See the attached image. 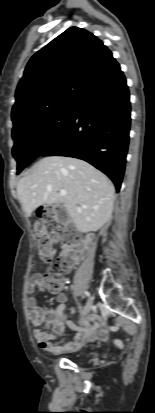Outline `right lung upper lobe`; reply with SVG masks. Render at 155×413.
<instances>
[{"label": "right lung upper lobe", "instance_id": "right-lung-upper-lobe-1", "mask_svg": "<svg viewBox=\"0 0 155 413\" xmlns=\"http://www.w3.org/2000/svg\"><path fill=\"white\" fill-rule=\"evenodd\" d=\"M120 68L111 51L89 31L71 27L28 62L16 89L13 125L76 103Z\"/></svg>", "mask_w": 155, "mask_h": 413}]
</instances>
